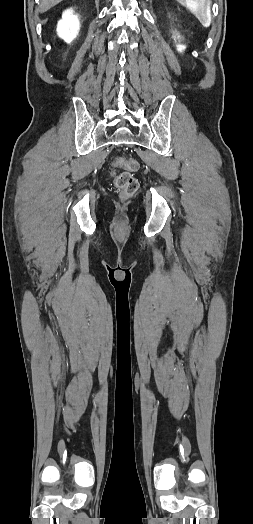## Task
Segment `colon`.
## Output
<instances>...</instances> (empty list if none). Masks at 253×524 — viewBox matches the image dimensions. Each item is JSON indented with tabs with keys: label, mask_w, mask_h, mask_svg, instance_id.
Wrapping results in <instances>:
<instances>
[{
	"label": "colon",
	"mask_w": 253,
	"mask_h": 524,
	"mask_svg": "<svg viewBox=\"0 0 253 524\" xmlns=\"http://www.w3.org/2000/svg\"><path fill=\"white\" fill-rule=\"evenodd\" d=\"M114 165L126 169L121 173H113V176L114 185L120 191L121 196L129 198L138 188V181L132 174L133 171L137 170L138 163L133 159L117 158Z\"/></svg>",
	"instance_id": "1"
}]
</instances>
